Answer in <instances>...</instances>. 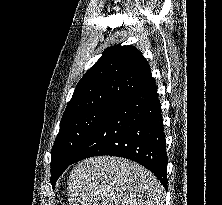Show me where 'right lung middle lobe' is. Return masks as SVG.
Instances as JSON below:
<instances>
[{"mask_svg":"<svg viewBox=\"0 0 222 205\" xmlns=\"http://www.w3.org/2000/svg\"><path fill=\"white\" fill-rule=\"evenodd\" d=\"M115 105L95 107L61 120L60 130L52 148L51 178L52 185L71 164L76 152Z\"/></svg>","mask_w":222,"mask_h":205,"instance_id":"dd1d6c3e","label":"right lung middle lobe"}]
</instances>
